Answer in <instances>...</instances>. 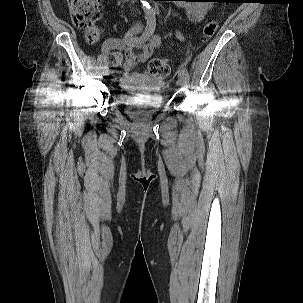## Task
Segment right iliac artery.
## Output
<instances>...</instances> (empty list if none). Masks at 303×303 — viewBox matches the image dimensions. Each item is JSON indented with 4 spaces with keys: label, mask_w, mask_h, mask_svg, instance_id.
Segmentation results:
<instances>
[{
    "label": "right iliac artery",
    "mask_w": 303,
    "mask_h": 303,
    "mask_svg": "<svg viewBox=\"0 0 303 303\" xmlns=\"http://www.w3.org/2000/svg\"><path fill=\"white\" fill-rule=\"evenodd\" d=\"M156 27V17L155 16H149L146 14V28L143 34L141 35L140 39L142 41H146L149 39V37L153 34ZM117 65L113 64L111 66L110 72L114 73L116 71Z\"/></svg>",
    "instance_id": "1"
}]
</instances>
